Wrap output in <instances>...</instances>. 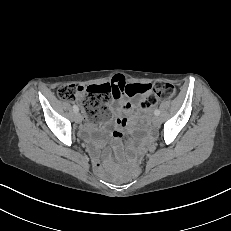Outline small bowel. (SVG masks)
Returning a JSON list of instances; mask_svg holds the SVG:
<instances>
[{
	"mask_svg": "<svg viewBox=\"0 0 231 231\" xmlns=\"http://www.w3.org/2000/svg\"><path fill=\"white\" fill-rule=\"evenodd\" d=\"M111 84L120 89L121 93L114 95V100L110 103L112 111L115 113V120L110 124L111 135L114 138V145L118 148L120 138L125 130L132 131L134 127V118L137 114V102L131 98L138 94H130L129 87L138 84L129 83L123 75H114L111 79ZM86 130L94 136L93 148L99 150L106 142V132L108 127L100 129L95 124L87 123Z\"/></svg>",
	"mask_w": 231,
	"mask_h": 231,
	"instance_id": "obj_1",
	"label": "small bowel"
}]
</instances>
